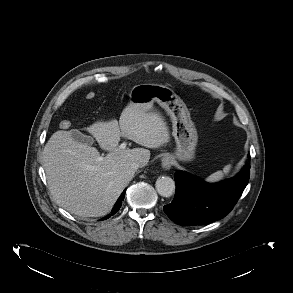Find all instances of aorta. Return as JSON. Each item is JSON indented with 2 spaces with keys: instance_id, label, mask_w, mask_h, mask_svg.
Here are the masks:
<instances>
[{
  "instance_id": "1",
  "label": "aorta",
  "mask_w": 293,
  "mask_h": 293,
  "mask_svg": "<svg viewBox=\"0 0 293 293\" xmlns=\"http://www.w3.org/2000/svg\"><path fill=\"white\" fill-rule=\"evenodd\" d=\"M155 187L159 195L170 197L175 191V182L168 176H162L156 180Z\"/></svg>"
}]
</instances>
